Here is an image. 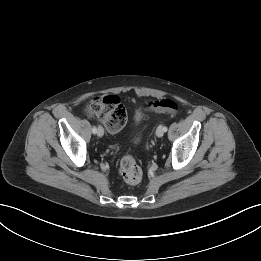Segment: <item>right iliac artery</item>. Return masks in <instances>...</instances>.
Returning a JSON list of instances; mask_svg holds the SVG:
<instances>
[{"mask_svg":"<svg viewBox=\"0 0 261 261\" xmlns=\"http://www.w3.org/2000/svg\"><path fill=\"white\" fill-rule=\"evenodd\" d=\"M92 133H93V134H96V133H97V128H96L95 126H93V128H92Z\"/></svg>","mask_w":261,"mask_h":261,"instance_id":"1","label":"right iliac artery"}]
</instances>
